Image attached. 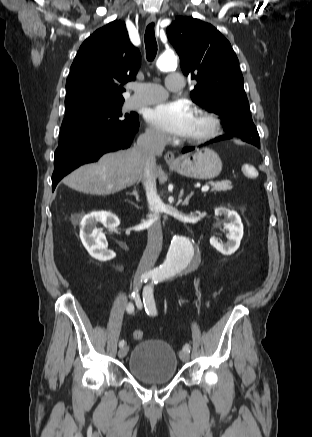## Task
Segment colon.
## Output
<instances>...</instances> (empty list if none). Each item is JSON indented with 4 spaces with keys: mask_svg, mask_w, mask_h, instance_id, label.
Returning <instances> with one entry per match:
<instances>
[{
    "mask_svg": "<svg viewBox=\"0 0 312 437\" xmlns=\"http://www.w3.org/2000/svg\"><path fill=\"white\" fill-rule=\"evenodd\" d=\"M133 338H134L136 341H141V340H143V339H144V332H143L142 330H135V331L133 332Z\"/></svg>",
    "mask_w": 312,
    "mask_h": 437,
    "instance_id": "5ec220e1",
    "label": "colon"
}]
</instances>
